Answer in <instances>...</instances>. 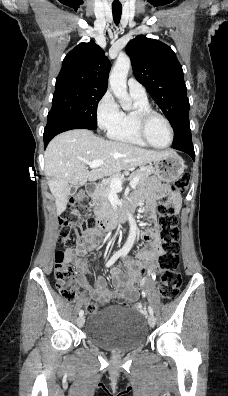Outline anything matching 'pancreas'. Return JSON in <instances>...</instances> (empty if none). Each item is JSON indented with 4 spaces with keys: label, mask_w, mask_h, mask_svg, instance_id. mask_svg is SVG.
Returning a JSON list of instances; mask_svg holds the SVG:
<instances>
[{
    "label": "pancreas",
    "mask_w": 228,
    "mask_h": 396,
    "mask_svg": "<svg viewBox=\"0 0 228 396\" xmlns=\"http://www.w3.org/2000/svg\"><path fill=\"white\" fill-rule=\"evenodd\" d=\"M153 173V169L151 167H145L142 170H138L130 174V176L125 179L121 175H115V178H120L121 180H132L134 177H138L139 181L137 186H140L146 182L149 176ZM110 179L103 180L100 184H98L93 196L92 200L94 203V214L96 219L105 220L111 217L113 211L112 207L109 203V195L112 192L110 187Z\"/></svg>",
    "instance_id": "cf45deb5"
}]
</instances>
